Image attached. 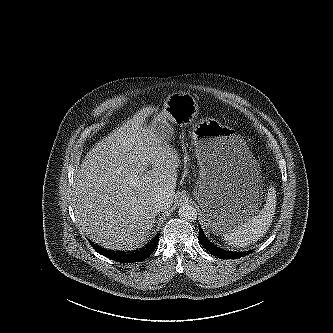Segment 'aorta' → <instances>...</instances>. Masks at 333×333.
<instances>
[{
  "label": "aorta",
  "instance_id": "aorta-1",
  "mask_svg": "<svg viewBox=\"0 0 333 333\" xmlns=\"http://www.w3.org/2000/svg\"><path fill=\"white\" fill-rule=\"evenodd\" d=\"M179 217L186 221H194L197 218V210L189 204H184L179 208Z\"/></svg>",
  "mask_w": 333,
  "mask_h": 333
}]
</instances>
